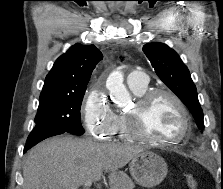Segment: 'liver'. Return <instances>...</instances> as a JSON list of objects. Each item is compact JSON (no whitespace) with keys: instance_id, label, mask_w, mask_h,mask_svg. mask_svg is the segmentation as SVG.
<instances>
[{"instance_id":"obj_1","label":"liver","mask_w":223,"mask_h":189,"mask_svg":"<svg viewBox=\"0 0 223 189\" xmlns=\"http://www.w3.org/2000/svg\"><path fill=\"white\" fill-rule=\"evenodd\" d=\"M144 148L131 144H103L70 136L49 138L28 153L23 167V189H78L99 181L109 172L111 189H125L127 175L120 171Z\"/></svg>"}]
</instances>
